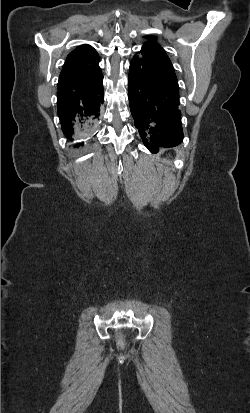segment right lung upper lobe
I'll return each instance as SVG.
<instances>
[{
  "label": "right lung upper lobe",
  "instance_id": "obj_1",
  "mask_svg": "<svg viewBox=\"0 0 250 413\" xmlns=\"http://www.w3.org/2000/svg\"><path fill=\"white\" fill-rule=\"evenodd\" d=\"M98 63V53L92 46H79L67 56L58 86L79 85L89 81L100 70Z\"/></svg>",
  "mask_w": 250,
  "mask_h": 413
}]
</instances>
